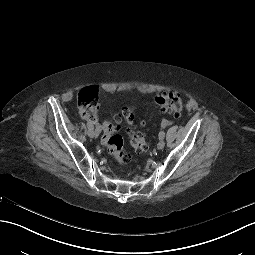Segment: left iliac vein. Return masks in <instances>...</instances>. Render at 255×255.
<instances>
[{
  "label": "left iliac vein",
  "instance_id": "4c4485c4",
  "mask_svg": "<svg viewBox=\"0 0 255 255\" xmlns=\"http://www.w3.org/2000/svg\"><path fill=\"white\" fill-rule=\"evenodd\" d=\"M164 146H165V142H164V140H160L159 142H158V144H157V149L158 150H162L163 148H164Z\"/></svg>",
  "mask_w": 255,
  "mask_h": 255
}]
</instances>
